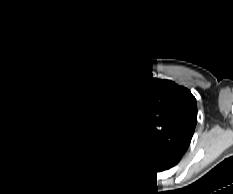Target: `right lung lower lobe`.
I'll list each match as a JSON object with an SVG mask.
<instances>
[{"instance_id":"obj_1","label":"right lung lower lobe","mask_w":233,"mask_h":194,"mask_svg":"<svg viewBox=\"0 0 233 194\" xmlns=\"http://www.w3.org/2000/svg\"><path fill=\"white\" fill-rule=\"evenodd\" d=\"M63 154H64V153H63ZM64 156L68 157L66 154H64ZM98 156H99V152H98V153H96V154L94 155V157H93L92 159H90L89 161H86V162H80V163H81V164H92V163H94V162H96V161H97Z\"/></svg>"}]
</instances>
